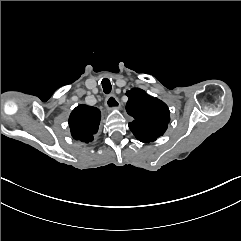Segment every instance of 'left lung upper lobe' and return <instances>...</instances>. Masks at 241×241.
I'll list each match as a JSON object with an SVG mask.
<instances>
[{"label": "left lung upper lobe", "instance_id": "1", "mask_svg": "<svg viewBox=\"0 0 241 241\" xmlns=\"http://www.w3.org/2000/svg\"><path fill=\"white\" fill-rule=\"evenodd\" d=\"M126 95V111L134 118L128 125L135 137L149 143L163 135L170 121L168 106L139 88L127 91Z\"/></svg>", "mask_w": 241, "mask_h": 241}]
</instances>
